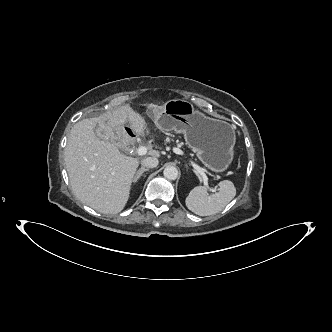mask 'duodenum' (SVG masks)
Returning <instances> with one entry per match:
<instances>
[{"label":"duodenum","mask_w":332,"mask_h":332,"mask_svg":"<svg viewBox=\"0 0 332 332\" xmlns=\"http://www.w3.org/2000/svg\"><path fill=\"white\" fill-rule=\"evenodd\" d=\"M125 133L126 137L130 140H134L136 138V133L131 128H126Z\"/></svg>","instance_id":"obj_1"}]
</instances>
